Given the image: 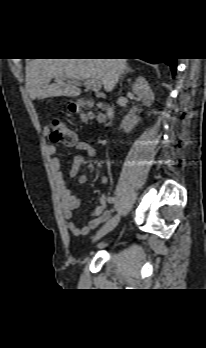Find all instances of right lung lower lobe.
Segmentation results:
<instances>
[{
  "label": "right lung lower lobe",
  "mask_w": 206,
  "mask_h": 348,
  "mask_svg": "<svg viewBox=\"0 0 206 348\" xmlns=\"http://www.w3.org/2000/svg\"><path fill=\"white\" fill-rule=\"evenodd\" d=\"M150 63H159V62H164L168 64L172 70V74L175 75L176 72V58H167V59H144Z\"/></svg>",
  "instance_id": "obj_1"
}]
</instances>
